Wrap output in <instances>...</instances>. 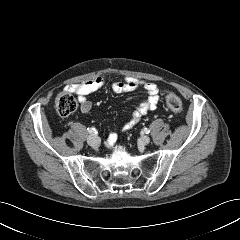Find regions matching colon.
Instances as JSON below:
<instances>
[{
	"instance_id": "1",
	"label": "colon",
	"mask_w": 240,
	"mask_h": 240,
	"mask_svg": "<svg viewBox=\"0 0 240 240\" xmlns=\"http://www.w3.org/2000/svg\"><path fill=\"white\" fill-rule=\"evenodd\" d=\"M166 103L172 112L180 113L182 111V101L175 93L166 92ZM55 106L61 116H69L77 110L79 103L70 93L59 92L55 99Z\"/></svg>"
}]
</instances>
